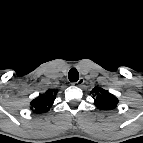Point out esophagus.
<instances>
[{
  "instance_id": "34e87169",
  "label": "esophagus",
  "mask_w": 143,
  "mask_h": 143,
  "mask_svg": "<svg viewBox=\"0 0 143 143\" xmlns=\"http://www.w3.org/2000/svg\"><path fill=\"white\" fill-rule=\"evenodd\" d=\"M85 83V80L84 78H79V80L77 82H74L73 85H76V86H82L83 84Z\"/></svg>"
}]
</instances>
